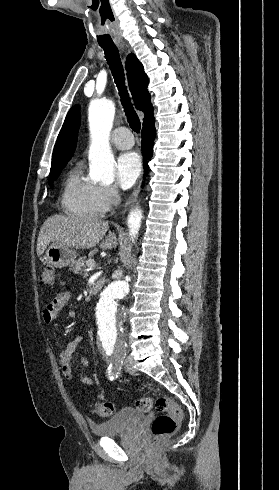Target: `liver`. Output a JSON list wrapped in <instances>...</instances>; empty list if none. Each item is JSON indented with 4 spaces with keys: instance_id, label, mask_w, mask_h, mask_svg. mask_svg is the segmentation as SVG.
Segmentation results:
<instances>
[{
    "instance_id": "6515ba94",
    "label": "liver",
    "mask_w": 279,
    "mask_h": 490,
    "mask_svg": "<svg viewBox=\"0 0 279 490\" xmlns=\"http://www.w3.org/2000/svg\"><path fill=\"white\" fill-rule=\"evenodd\" d=\"M109 230V222L94 218H76V216H50L44 222L37 240V256L44 254L48 244L54 242L63 248L89 250L99 244ZM118 244L114 232H109L107 240L101 242L99 248L112 250Z\"/></svg>"
}]
</instances>
